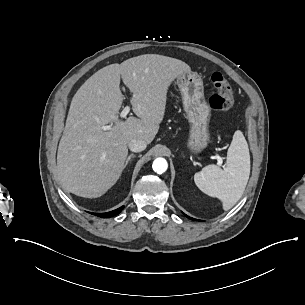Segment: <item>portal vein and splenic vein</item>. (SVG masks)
Returning <instances> with one entry per match:
<instances>
[{
	"mask_svg": "<svg viewBox=\"0 0 305 305\" xmlns=\"http://www.w3.org/2000/svg\"><path fill=\"white\" fill-rule=\"evenodd\" d=\"M129 111H130V107H129V106H126V107L122 110V112L120 113V117H121V118H125V117L127 116V114L129 113ZM111 127H112V125H106V126H102V129H103L104 131H107V130H110ZM215 158H216L217 161H218L217 164H218L219 166H221L222 163H223L222 157H220L219 155H216Z\"/></svg>",
	"mask_w": 305,
	"mask_h": 305,
	"instance_id": "18ae733b",
	"label": "portal vein and splenic vein"
}]
</instances>
